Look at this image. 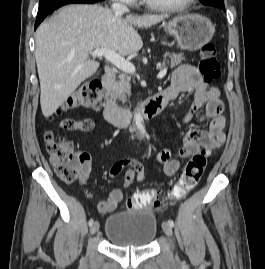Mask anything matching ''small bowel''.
<instances>
[{
	"mask_svg": "<svg viewBox=\"0 0 265 269\" xmlns=\"http://www.w3.org/2000/svg\"><path fill=\"white\" fill-rule=\"evenodd\" d=\"M184 93L193 95L191 110L185 116L184 124L189 125L196 114L205 108V113L199 119L201 121L212 119L211 130L206 132L200 129H190L184 136L176 154L169 148H165L156 154L155 162L163 165L164 173L168 176H173L177 173L180 168V159L192 156L199 152L202 147L219 148L226 140L224 118L222 116L224 105L220 99V92L216 87L208 85L196 67L188 64L181 65L174 71L171 85L162 92L165 106ZM84 120L88 124L85 129H73L71 131L94 130V123L89 119ZM81 157L79 182L84 184L91 170V160L87 153L82 154ZM127 166L132 168L124 174L123 185L125 188L131 187L136 181L141 182L145 176V168L141 162L133 158H125L111 165L109 170L110 177H117ZM122 199L123 192L120 189H113L105 200L98 203L99 213L107 214L115 211Z\"/></svg>",
	"mask_w": 265,
	"mask_h": 269,
	"instance_id": "obj_1",
	"label": "small bowel"
}]
</instances>
